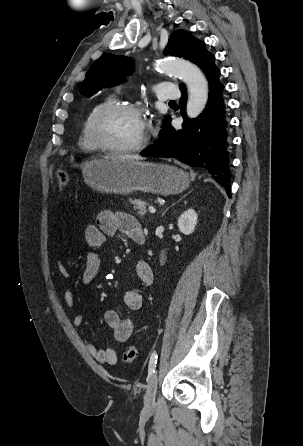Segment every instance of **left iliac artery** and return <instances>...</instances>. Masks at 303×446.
<instances>
[{"instance_id":"44dca946","label":"left iliac artery","mask_w":303,"mask_h":446,"mask_svg":"<svg viewBox=\"0 0 303 446\" xmlns=\"http://www.w3.org/2000/svg\"><path fill=\"white\" fill-rule=\"evenodd\" d=\"M157 353L154 351L150 357L149 366H148V374L151 376L155 372L156 364H157Z\"/></svg>"}]
</instances>
